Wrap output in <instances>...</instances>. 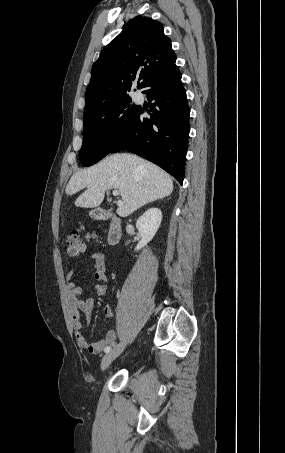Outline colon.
Wrapping results in <instances>:
<instances>
[{
  "label": "colon",
  "mask_w": 285,
  "mask_h": 453,
  "mask_svg": "<svg viewBox=\"0 0 285 453\" xmlns=\"http://www.w3.org/2000/svg\"><path fill=\"white\" fill-rule=\"evenodd\" d=\"M93 237L90 232L74 230L69 234L66 240V253L70 257H76L85 250V241Z\"/></svg>",
  "instance_id": "obj_1"
}]
</instances>
